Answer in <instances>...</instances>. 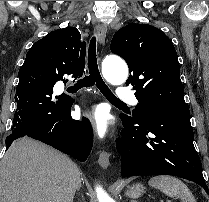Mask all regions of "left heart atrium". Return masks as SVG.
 Returning a JSON list of instances; mask_svg holds the SVG:
<instances>
[{
  "label": "left heart atrium",
  "instance_id": "left-heart-atrium-1",
  "mask_svg": "<svg viewBox=\"0 0 209 202\" xmlns=\"http://www.w3.org/2000/svg\"><path fill=\"white\" fill-rule=\"evenodd\" d=\"M81 118L88 121L94 131L99 135L103 136L107 132V120H106V114L102 110L101 107L96 106L93 107L89 111L81 112L80 113Z\"/></svg>",
  "mask_w": 209,
  "mask_h": 202
}]
</instances>
